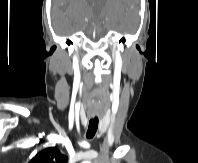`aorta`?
I'll use <instances>...</instances> for the list:
<instances>
[{
	"instance_id": "obj_1",
	"label": "aorta",
	"mask_w": 198,
	"mask_h": 163,
	"mask_svg": "<svg viewBox=\"0 0 198 163\" xmlns=\"http://www.w3.org/2000/svg\"><path fill=\"white\" fill-rule=\"evenodd\" d=\"M82 163H91L90 161H84V162H82Z\"/></svg>"
}]
</instances>
